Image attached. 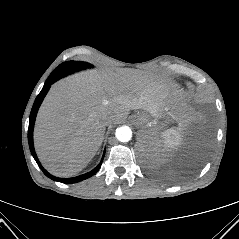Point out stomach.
<instances>
[{
    "mask_svg": "<svg viewBox=\"0 0 239 239\" xmlns=\"http://www.w3.org/2000/svg\"><path fill=\"white\" fill-rule=\"evenodd\" d=\"M165 114H166V115H170V116H172V115H171L170 113H168V112H166ZM172 117H173V116H172Z\"/></svg>",
    "mask_w": 239,
    "mask_h": 239,
    "instance_id": "obj_1",
    "label": "stomach"
}]
</instances>
